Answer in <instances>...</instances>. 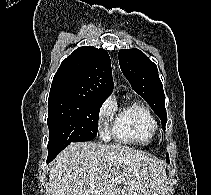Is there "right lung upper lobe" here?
I'll return each instance as SVG.
<instances>
[{
    "label": "right lung upper lobe",
    "mask_w": 211,
    "mask_h": 195,
    "mask_svg": "<svg viewBox=\"0 0 211 195\" xmlns=\"http://www.w3.org/2000/svg\"><path fill=\"white\" fill-rule=\"evenodd\" d=\"M112 91L109 54L102 48L83 46L63 60L53 78L49 96L105 101Z\"/></svg>",
    "instance_id": "obj_1"
}]
</instances>
